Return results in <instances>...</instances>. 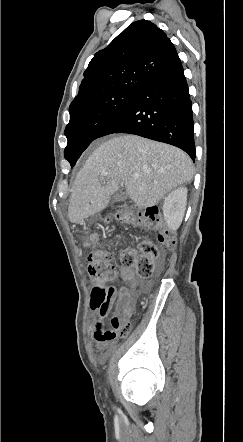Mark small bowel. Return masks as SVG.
<instances>
[{
  "label": "small bowel",
  "mask_w": 243,
  "mask_h": 442,
  "mask_svg": "<svg viewBox=\"0 0 243 442\" xmlns=\"http://www.w3.org/2000/svg\"><path fill=\"white\" fill-rule=\"evenodd\" d=\"M122 277L130 282L131 287H122L118 292L117 313L133 311L136 296L142 286V282L134 275L132 269H121ZM115 300V294L110 305H104L101 308L92 307V332L96 341V347L101 357H106L109 353L111 341L102 340L101 337L106 332L103 327L102 319L107 315L112 303Z\"/></svg>",
  "instance_id": "small-bowel-1"
}]
</instances>
